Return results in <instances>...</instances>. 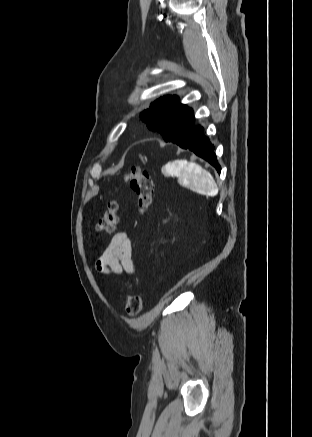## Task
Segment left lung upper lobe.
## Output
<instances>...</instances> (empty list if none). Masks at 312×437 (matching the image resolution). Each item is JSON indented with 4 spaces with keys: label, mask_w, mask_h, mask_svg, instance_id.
<instances>
[{
    "label": "left lung upper lobe",
    "mask_w": 312,
    "mask_h": 437,
    "mask_svg": "<svg viewBox=\"0 0 312 437\" xmlns=\"http://www.w3.org/2000/svg\"><path fill=\"white\" fill-rule=\"evenodd\" d=\"M140 118L148 128L160 133L166 142H175L194 126L192 109L178 103L177 96H165L151 103Z\"/></svg>",
    "instance_id": "obj_1"
}]
</instances>
